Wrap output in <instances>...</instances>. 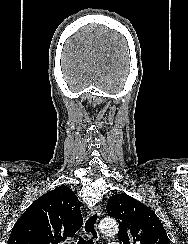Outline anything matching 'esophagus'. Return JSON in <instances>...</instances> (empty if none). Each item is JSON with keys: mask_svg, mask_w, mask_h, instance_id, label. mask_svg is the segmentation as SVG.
Here are the masks:
<instances>
[{"mask_svg": "<svg viewBox=\"0 0 188 244\" xmlns=\"http://www.w3.org/2000/svg\"><path fill=\"white\" fill-rule=\"evenodd\" d=\"M101 215L100 206H96L92 211L87 215L84 224L83 232L88 237L93 239L95 242L99 240V233L97 230V224Z\"/></svg>", "mask_w": 188, "mask_h": 244, "instance_id": "34e87169", "label": "esophagus"}]
</instances>
